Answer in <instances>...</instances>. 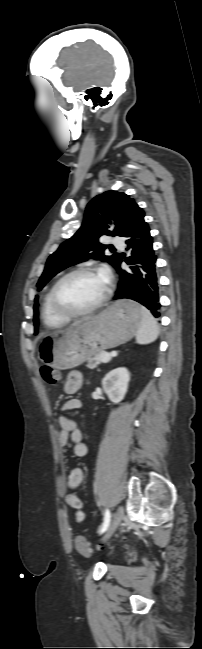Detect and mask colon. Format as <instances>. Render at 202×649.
I'll use <instances>...</instances> for the list:
<instances>
[{"label":"colon","mask_w":202,"mask_h":649,"mask_svg":"<svg viewBox=\"0 0 202 649\" xmlns=\"http://www.w3.org/2000/svg\"><path fill=\"white\" fill-rule=\"evenodd\" d=\"M40 374L43 380L50 385H54L60 380L59 372L50 366H42L40 369ZM75 546L77 551L81 555L86 557L91 556L94 552L91 544L82 536L76 537Z\"/></svg>","instance_id":"5ec220e1"}]
</instances>
